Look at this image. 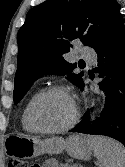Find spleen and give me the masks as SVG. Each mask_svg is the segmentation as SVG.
I'll list each match as a JSON object with an SVG mask.
<instances>
[{"instance_id":"3e777b00","label":"spleen","mask_w":125,"mask_h":167,"mask_svg":"<svg viewBox=\"0 0 125 167\" xmlns=\"http://www.w3.org/2000/svg\"><path fill=\"white\" fill-rule=\"evenodd\" d=\"M90 142L100 167H125V147L105 136H92Z\"/></svg>"}]
</instances>
